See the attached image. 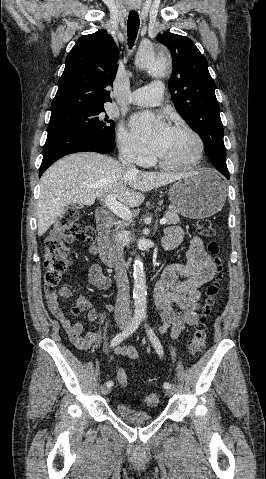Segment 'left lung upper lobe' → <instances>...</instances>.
<instances>
[{
	"instance_id": "obj_1",
	"label": "left lung upper lobe",
	"mask_w": 266,
	"mask_h": 479,
	"mask_svg": "<svg viewBox=\"0 0 266 479\" xmlns=\"http://www.w3.org/2000/svg\"><path fill=\"white\" fill-rule=\"evenodd\" d=\"M157 40L167 46L172 55L173 72L168 87L176 110L202 138L211 163L218 170L227 171L216 85L206 58L185 36L163 33Z\"/></svg>"
}]
</instances>
